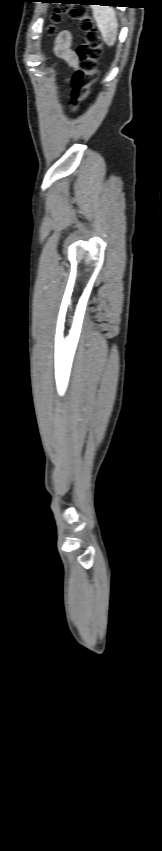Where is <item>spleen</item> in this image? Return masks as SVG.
<instances>
[{
	"label": "spleen",
	"instance_id": "3e777b00",
	"mask_svg": "<svg viewBox=\"0 0 162 851\" xmlns=\"http://www.w3.org/2000/svg\"><path fill=\"white\" fill-rule=\"evenodd\" d=\"M93 17L108 46H113L118 32V20L112 7L93 6Z\"/></svg>",
	"mask_w": 162,
	"mask_h": 851
}]
</instances>
